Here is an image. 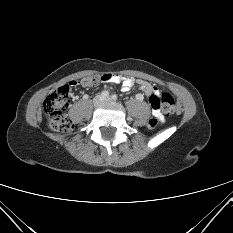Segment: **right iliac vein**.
I'll return each instance as SVG.
<instances>
[{"mask_svg":"<svg viewBox=\"0 0 233 233\" xmlns=\"http://www.w3.org/2000/svg\"><path fill=\"white\" fill-rule=\"evenodd\" d=\"M103 101V97L101 95H97L94 99H93V104L95 106H98L102 103Z\"/></svg>","mask_w":233,"mask_h":233,"instance_id":"1","label":"right iliac vein"}]
</instances>
